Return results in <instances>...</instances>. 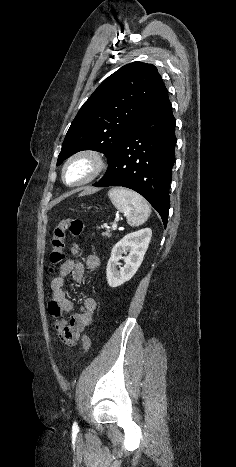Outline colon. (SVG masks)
Returning a JSON list of instances; mask_svg holds the SVG:
<instances>
[{
  "label": "colon",
  "instance_id": "5ec220e1",
  "mask_svg": "<svg viewBox=\"0 0 236 467\" xmlns=\"http://www.w3.org/2000/svg\"><path fill=\"white\" fill-rule=\"evenodd\" d=\"M84 232L83 221L79 218H66L62 219L58 225L52 230V237L50 240L49 261L53 267L61 264L65 259V239L67 235L80 236ZM91 346L90 339L87 335L82 337L83 351L86 353Z\"/></svg>",
  "mask_w": 236,
  "mask_h": 467
}]
</instances>
